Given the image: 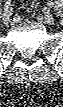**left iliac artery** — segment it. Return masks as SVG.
I'll return each instance as SVG.
<instances>
[{
    "instance_id": "obj_1",
    "label": "left iliac artery",
    "mask_w": 63,
    "mask_h": 107,
    "mask_svg": "<svg viewBox=\"0 0 63 107\" xmlns=\"http://www.w3.org/2000/svg\"><path fill=\"white\" fill-rule=\"evenodd\" d=\"M47 5L51 7L53 5V2L50 0L47 2Z\"/></svg>"
}]
</instances>
